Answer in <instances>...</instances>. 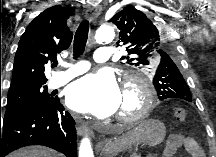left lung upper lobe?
Instances as JSON below:
<instances>
[{"label":"left lung upper lobe","instance_id":"left-lung-upper-lobe-1","mask_svg":"<svg viewBox=\"0 0 216 157\" xmlns=\"http://www.w3.org/2000/svg\"><path fill=\"white\" fill-rule=\"evenodd\" d=\"M109 21L119 30L117 46H124L128 52V56L121 59L139 68L153 69V85L160 100L192 101L189 86L182 76L185 69L178 64V51L173 48L175 39L165 35V27L130 5Z\"/></svg>","mask_w":216,"mask_h":157}]
</instances>
